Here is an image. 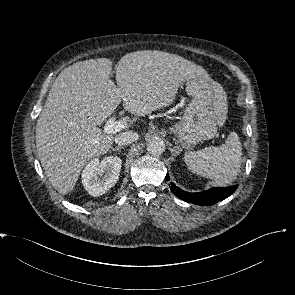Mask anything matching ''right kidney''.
<instances>
[{"mask_svg": "<svg viewBox=\"0 0 295 295\" xmlns=\"http://www.w3.org/2000/svg\"><path fill=\"white\" fill-rule=\"evenodd\" d=\"M122 160L117 156H107L101 161L91 160L82 172V184L92 196L105 194L113 187L120 175Z\"/></svg>", "mask_w": 295, "mask_h": 295, "instance_id": "ca27d5eb", "label": "right kidney"}]
</instances>
